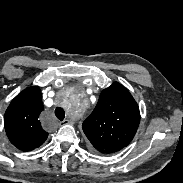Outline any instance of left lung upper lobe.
Masks as SVG:
<instances>
[{"label": "left lung upper lobe", "instance_id": "1", "mask_svg": "<svg viewBox=\"0 0 183 183\" xmlns=\"http://www.w3.org/2000/svg\"><path fill=\"white\" fill-rule=\"evenodd\" d=\"M139 122L136 101L123 85L115 82L101 92L95 109L82 128L99 152L110 154L128 146Z\"/></svg>", "mask_w": 183, "mask_h": 183}]
</instances>
